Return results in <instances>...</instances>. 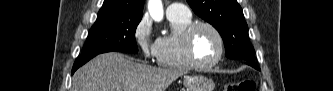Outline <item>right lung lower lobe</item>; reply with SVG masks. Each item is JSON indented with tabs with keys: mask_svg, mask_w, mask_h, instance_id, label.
Instances as JSON below:
<instances>
[{
	"mask_svg": "<svg viewBox=\"0 0 333 91\" xmlns=\"http://www.w3.org/2000/svg\"><path fill=\"white\" fill-rule=\"evenodd\" d=\"M96 55H90V56H79L75 63L74 66L72 68V74L79 68L81 67L83 64H85L87 61H89L90 59H92L93 57H95Z\"/></svg>",
	"mask_w": 333,
	"mask_h": 91,
	"instance_id": "right-lung-lower-lobe-1",
	"label": "right lung lower lobe"
}]
</instances>
